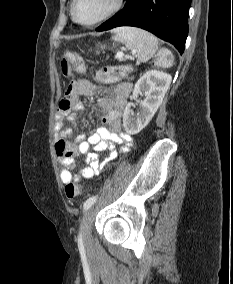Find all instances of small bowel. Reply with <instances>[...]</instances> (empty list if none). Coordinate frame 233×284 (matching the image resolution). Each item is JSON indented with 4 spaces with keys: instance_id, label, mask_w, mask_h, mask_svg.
Segmentation results:
<instances>
[{
    "instance_id": "small-bowel-1",
    "label": "small bowel",
    "mask_w": 233,
    "mask_h": 284,
    "mask_svg": "<svg viewBox=\"0 0 233 284\" xmlns=\"http://www.w3.org/2000/svg\"><path fill=\"white\" fill-rule=\"evenodd\" d=\"M130 91L129 83H121L113 88L110 97L97 98L96 104L104 114L102 125L94 133H82L73 142H69L67 138L73 134V130L63 128V122L65 120L76 122L78 112L83 109L79 97L92 96L96 93V87L87 79H78L69 84L55 116L57 133L55 150L62 165L60 173L62 183H77L81 179H90L98 175L107 163L116 158L115 144L122 145L123 152L128 150L132 139L129 134L122 131L121 117ZM90 148L93 149L92 152H89ZM101 151L108 153L102 161L98 158V152ZM80 154L87 155V165L77 173H73L75 157Z\"/></svg>"
}]
</instances>
